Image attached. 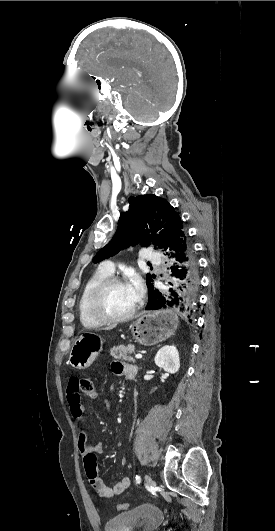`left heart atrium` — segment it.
<instances>
[{"mask_svg":"<svg viewBox=\"0 0 275 531\" xmlns=\"http://www.w3.org/2000/svg\"><path fill=\"white\" fill-rule=\"evenodd\" d=\"M128 284L135 296L136 299H138L141 289H142V283L141 279L135 272H132L128 278Z\"/></svg>","mask_w":275,"mask_h":531,"instance_id":"1","label":"left heart atrium"}]
</instances>
